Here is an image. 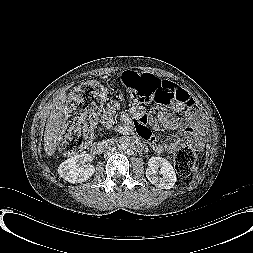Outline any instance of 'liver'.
I'll use <instances>...</instances> for the list:
<instances>
[{
	"mask_svg": "<svg viewBox=\"0 0 253 253\" xmlns=\"http://www.w3.org/2000/svg\"><path fill=\"white\" fill-rule=\"evenodd\" d=\"M66 94H59L50 106V115L48 117L44 133V150L46 155L55 154L60 137L63 131V117L65 113Z\"/></svg>",
	"mask_w": 253,
	"mask_h": 253,
	"instance_id": "liver-1",
	"label": "liver"
}]
</instances>
